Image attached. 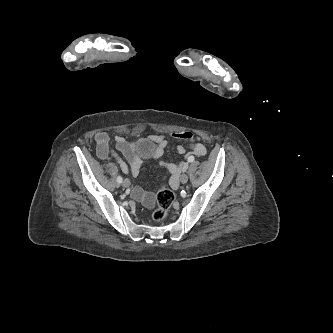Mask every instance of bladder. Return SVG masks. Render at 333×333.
Here are the masks:
<instances>
[{
    "instance_id": "1",
    "label": "bladder",
    "mask_w": 333,
    "mask_h": 333,
    "mask_svg": "<svg viewBox=\"0 0 333 333\" xmlns=\"http://www.w3.org/2000/svg\"><path fill=\"white\" fill-rule=\"evenodd\" d=\"M138 152L143 157H151L155 151V143L148 139H143L137 144Z\"/></svg>"
}]
</instances>
